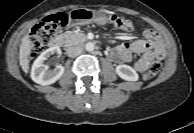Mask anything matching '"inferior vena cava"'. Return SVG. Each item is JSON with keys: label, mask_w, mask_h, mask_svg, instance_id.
I'll list each match as a JSON object with an SVG mask.
<instances>
[{"label": "inferior vena cava", "mask_w": 194, "mask_h": 133, "mask_svg": "<svg viewBox=\"0 0 194 133\" xmlns=\"http://www.w3.org/2000/svg\"><path fill=\"white\" fill-rule=\"evenodd\" d=\"M83 51V48L82 47H79V46H72V47H69L67 48L66 52H67V55L69 57H76L78 55H80Z\"/></svg>", "instance_id": "obj_1"}]
</instances>
